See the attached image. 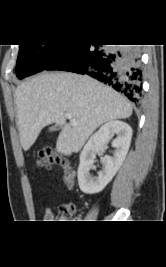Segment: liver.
<instances>
[{
	"label": "liver",
	"mask_w": 166,
	"mask_h": 267,
	"mask_svg": "<svg viewBox=\"0 0 166 267\" xmlns=\"http://www.w3.org/2000/svg\"><path fill=\"white\" fill-rule=\"evenodd\" d=\"M15 102L25 151L45 126L56 123L62 127L56 150L64 155L77 153L100 125L132 114L129 101L111 87L88 76L64 72H43L21 83ZM67 113L78 125L66 122Z\"/></svg>",
	"instance_id": "1"
}]
</instances>
